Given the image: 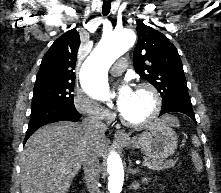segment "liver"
<instances>
[{"label":"liver","mask_w":221,"mask_h":193,"mask_svg":"<svg viewBox=\"0 0 221 193\" xmlns=\"http://www.w3.org/2000/svg\"><path fill=\"white\" fill-rule=\"evenodd\" d=\"M160 121L179 126L172 116H164ZM88 141L86 131L78 123L62 121L39 128L21 155L22 193H67L83 164ZM105 149L103 136L96 144L99 157Z\"/></svg>","instance_id":"6515ba94"}]
</instances>
